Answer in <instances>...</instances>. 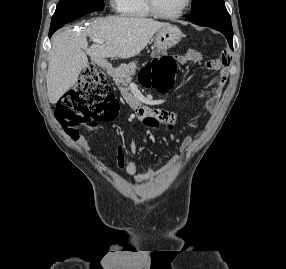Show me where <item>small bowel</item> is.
Listing matches in <instances>:
<instances>
[{
    "label": "small bowel",
    "mask_w": 286,
    "mask_h": 269,
    "mask_svg": "<svg viewBox=\"0 0 286 269\" xmlns=\"http://www.w3.org/2000/svg\"><path fill=\"white\" fill-rule=\"evenodd\" d=\"M176 61L180 65H186L191 63H198L204 60V55L194 49L187 50L185 53L178 54L175 56ZM228 56L223 54L220 58L215 60H210L205 63V66L209 70H214L218 72V75L215 80V92L216 95L211 98L206 99V109L210 115H213L217 107V98L219 97L221 90L224 86V83L228 76ZM123 93H132V88H123ZM134 94H123V99H134ZM130 106H139V101H130ZM149 116H156L158 123H167L174 119L173 114L168 111H165L164 108H146L145 105H140L137 108V115L135 116L136 120H147ZM80 143L83 146H87L85 139H81ZM191 144V138L187 137L184 140V149L188 148ZM129 151L131 158L126 161L125 159V150L122 145H119L116 149V163L118 168L125 169L126 173L134 177L139 183H142L144 180L149 179L152 181H157L162 173L152 170L150 167H146L142 173H139L137 163L134 159V156L137 153V145L134 141L130 142ZM181 159V156H177L173 159V163H178Z\"/></svg>",
    "instance_id": "small-bowel-1"
}]
</instances>
